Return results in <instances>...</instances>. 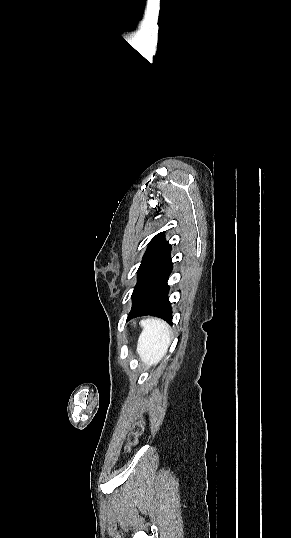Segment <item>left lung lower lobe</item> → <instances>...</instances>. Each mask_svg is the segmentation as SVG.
<instances>
[{
    "label": "left lung lower lobe",
    "instance_id": "0a47b994",
    "mask_svg": "<svg viewBox=\"0 0 291 538\" xmlns=\"http://www.w3.org/2000/svg\"><path fill=\"white\" fill-rule=\"evenodd\" d=\"M171 246L143 272L132 293L128 320L139 316H156L172 324V307L168 299L167 280L172 271Z\"/></svg>",
    "mask_w": 291,
    "mask_h": 538
}]
</instances>
